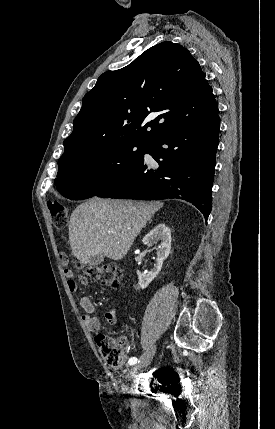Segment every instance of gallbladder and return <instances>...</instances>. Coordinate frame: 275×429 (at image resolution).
<instances>
[{
    "instance_id": "gallbladder-1",
    "label": "gallbladder",
    "mask_w": 275,
    "mask_h": 429,
    "mask_svg": "<svg viewBox=\"0 0 275 429\" xmlns=\"http://www.w3.org/2000/svg\"><path fill=\"white\" fill-rule=\"evenodd\" d=\"M103 260H104V256L95 255V256L91 257V259L89 261V265L90 266H98L103 262Z\"/></svg>"
}]
</instances>
